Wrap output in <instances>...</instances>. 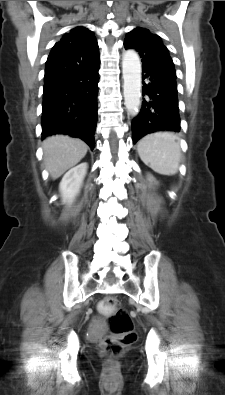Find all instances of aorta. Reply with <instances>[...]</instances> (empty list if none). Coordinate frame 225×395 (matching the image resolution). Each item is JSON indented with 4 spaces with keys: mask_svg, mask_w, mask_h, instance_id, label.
Returning a JSON list of instances; mask_svg holds the SVG:
<instances>
[{
    "mask_svg": "<svg viewBox=\"0 0 225 395\" xmlns=\"http://www.w3.org/2000/svg\"><path fill=\"white\" fill-rule=\"evenodd\" d=\"M122 73L124 79V104L132 116L139 112L141 104V61L133 50H127L122 58Z\"/></svg>",
    "mask_w": 225,
    "mask_h": 395,
    "instance_id": "762f6f07",
    "label": "aorta"
}]
</instances>
